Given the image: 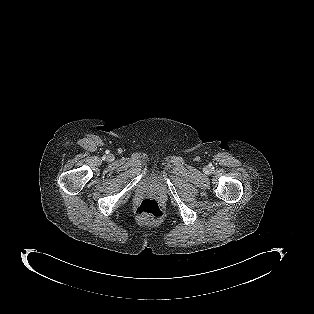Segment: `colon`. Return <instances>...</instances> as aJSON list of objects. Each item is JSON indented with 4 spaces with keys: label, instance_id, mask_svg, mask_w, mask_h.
I'll return each instance as SVG.
<instances>
[{
    "label": "colon",
    "instance_id": "5ec220e1",
    "mask_svg": "<svg viewBox=\"0 0 314 314\" xmlns=\"http://www.w3.org/2000/svg\"><path fill=\"white\" fill-rule=\"evenodd\" d=\"M136 214L141 218L160 219L164 213L156 200L144 199L136 207Z\"/></svg>",
    "mask_w": 314,
    "mask_h": 314
}]
</instances>
